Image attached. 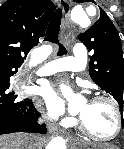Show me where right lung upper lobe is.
<instances>
[{"label":"right lung upper lobe","mask_w":124,"mask_h":149,"mask_svg":"<svg viewBox=\"0 0 124 149\" xmlns=\"http://www.w3.org/2000/svg\"><path fill=\"white\" fill-rule=\"evenodd\" d=\"M54 10L49 0H7L0 6V65L21 66Z\"/></svg>","instance_id":"1"}]
</instances>
